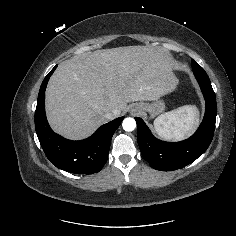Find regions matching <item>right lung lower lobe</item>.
I'll list each match as a JSON object with an SVG mask.
<instances>
[{
  "instance_id": "obj_1",
  "label": "right lung lower lobe",
  "mask_w": 236,
  "mask_h": 236,
  "mask_svg": "<svg viewBox=\"0 0 236 236\" xmlns=\"http://www.w3.org/2000/svg\"><path fill=\"white\" fill-rule=\"evenodd\" d=\"M57 65L43 80L35 111V129L41 147L57 168L76 174L99 172L107 162L111 138L124 117L102 125L91 137L72 141L61 137L50 128L45 115V90Z\"/></svg>"
}]
</instances>
